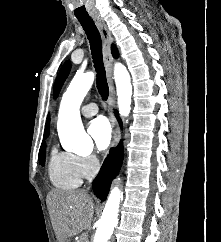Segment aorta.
Segmentation results:
<instances>
[{
    "label": "aorta",
    "instance_id": "aorta-1",
    "mask_svg": "<svg viewBox=\"0 0 221 242\" xmlns=\"http://www.w3.org/2000/svg\"><path fill=\"white\" fill-rule=\"evenodd\" d=\"M94 73L77 74L64 93L58 115V132L64 139L67 149L75 153L90 151L91 138L86 134L81 117L80 106L94 82ZM114 80L121 116H128L131 109L132 84L126 67L120 63L114 66ZM122 193L118 187L112 188L102 216L98 222L94 242H108L118 223V211Z\"/></svg>",
    "mask_w": 221,
    "mask_h": 242
}]
</instances>
